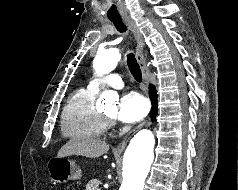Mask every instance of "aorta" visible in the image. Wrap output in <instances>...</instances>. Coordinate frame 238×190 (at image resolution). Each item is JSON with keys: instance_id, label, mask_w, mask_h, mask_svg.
<instances>
[{"instance_id": "762f6f07", "label": "aorta", "mask_w": 238, "mask_h": 190, "mask_svg": "<svg viewBox=\"0 0 238 190\" xmlns=\"http://www.w3.org/2000/svg\"><path fill=\"white\" fill-rule=\"evenodd\" d=\"M121 55L116 48L99 51L93 66L97 74H107L115 69ZM102 103L112 104L118 100L117 93L105 90ZM155 138L150 130H140L131 139L123 158V182L119 190H143L145 179L154 158Z\"/></svg>"}]
</instances>
